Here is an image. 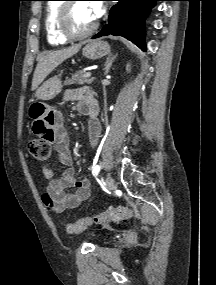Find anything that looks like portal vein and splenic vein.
Masks as SVG:
<instances>
[{"label":"portal vein and splenic vein","mask_w":216,"mask_h":285,"mask_svg":"<svg viewBox=\"0 0 216 285\" xmlns=\"http://www.w3.org/2000/svg\"><path fill=\"white\" fill-rule=\"evenodd\" d=\"M91 75H92L91 72H87V73H85L84 77H85V78H89V77H91Z\"/></svg>","instance_id":"portal-vein-and-splenic-vein-1"}]
</instances>
